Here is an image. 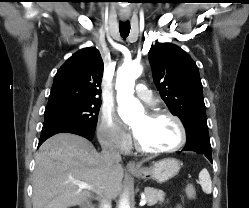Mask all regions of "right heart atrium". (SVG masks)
I'll return each mask as SVG.
<instances>
[{"label": "right heart atrium", "instance_id": "right-heart-atrium-1", "mask_svg": "<svg viewBox=\"0 0 249 208\" xmlns=\"http://www.w3.org/2000/svg\"><path fill=\"white\" fill-rule=\"evenodd\" d=\"M97 134L100 142L104 145L123 151L130 147V136L112 110L105 108L101 110Z\"/></svg>", "mask_w": 249, "mask_h": 208}]
</instances>
